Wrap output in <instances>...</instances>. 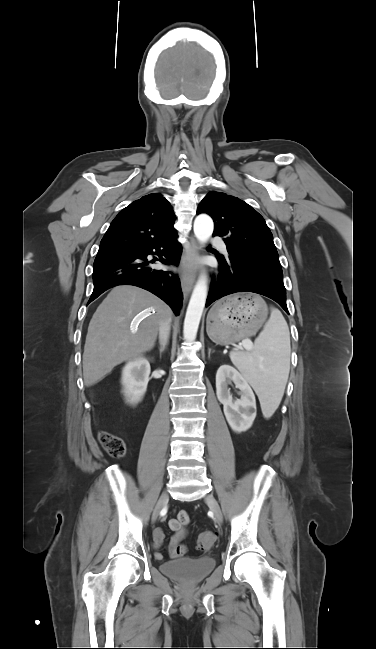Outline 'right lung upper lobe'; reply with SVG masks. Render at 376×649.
<instances>
[{
    "mask_svg": "<svg viewBox=\"0 0 376 649\" xmlns=\"http://www.w3.org/2000/svg\"><path fill=\"white\" fill-rule=\"evenodd\" d=\"M176 217L159 193L143 196L118 213L101 240L97 255L136 249L175 232Z\"/></svg>",
    "mask_w": 376,
    "mask_h": 649,
    "instance_id": "cb5924a9",
    "label": "right lung upper lobe"
}]
</instances>
